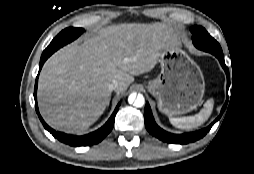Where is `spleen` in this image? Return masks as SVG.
Wrapping results in <instances>:
<instances>
[{"label":"spleen","mask_w":254,"mask_h":174,"mask_svg":"<svg viewBox=\"0 0 254 174\" xmlns=\"http://www.w3.org/2000/svg\"><path fill=\"white\" fill-rule=\"evenodd\" d=\"M213 107L214 100L211 98L204 103V108L198 114L188 117H170L169 121L173 126L180 129H194L208 120L212 114Z\"/></svg>","instance_id":"1"}]
</instances>
